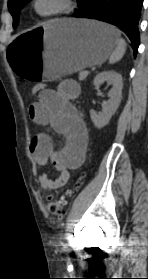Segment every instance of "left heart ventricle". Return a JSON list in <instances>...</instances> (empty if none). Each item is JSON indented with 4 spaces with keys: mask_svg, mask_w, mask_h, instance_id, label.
Segmentation results:
<instances>
[{
    "mask_svg": "<svg viewBox=\"0 0 148 279\" xmlns=\"http://www.w3.org/2000/svg\"><path fill=\"white\" fill-rule=\"evenodd\" d=\"M59 4H60L59 0H40L38 4V8L41 11H48L57 7Z\"/></svg>",
    "mask_w": 148,
    "mask_h": 279,
    "instance_id": "obj_1",
    "label": "left heart ventricle"
}]
</instances>
